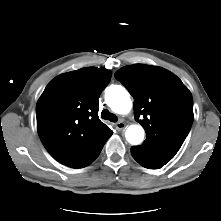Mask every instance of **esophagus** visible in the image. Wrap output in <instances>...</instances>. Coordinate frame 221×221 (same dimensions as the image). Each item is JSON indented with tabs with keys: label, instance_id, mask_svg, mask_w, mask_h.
Wrapping results in <instances>:
<instances>
[{
	"label": "esophagus",
	"instance_id": "esophagus-1",
	"mask_svg": "<svg viewBox=\"0 0 221 221\" xmlns=\"http://www.w3.org/2000/svg\"><path fill=\"white\" fill-rule=\"evenodd\" d=\"M114 126H115L116 130H118V131L126 128V124L122 121L115 123Z\"/></svg>",
	"mask_w": 221,
	"mask_h": 221
}]
</instances>
